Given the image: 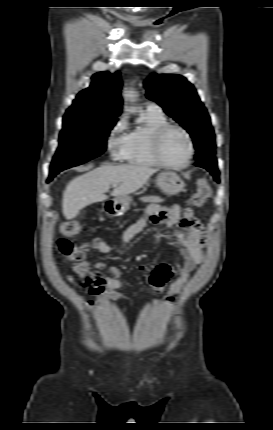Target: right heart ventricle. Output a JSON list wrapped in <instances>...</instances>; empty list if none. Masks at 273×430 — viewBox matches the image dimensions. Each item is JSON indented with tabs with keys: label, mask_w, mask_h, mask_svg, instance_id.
I'll return each instance as SVG.
<instances>
[{
	"label": "right heart ventricle",
	"mask_w": 273,
	"mask_h": 430,
	"mask_svg": "<svg viewBox=\"0 0 273 430\" xmlns=\"http://www.w3.org/2000/svg\"><path fill=\"white\" fill-rule=\"evenodd\" d=\"M167 123L163 112L145 110L139 117V124L128 134V147L125 161L137 167H156L151 151V138L153 132L161 125Z\"/></svg>",
	"instance_id": "1"
}]
</instances>
